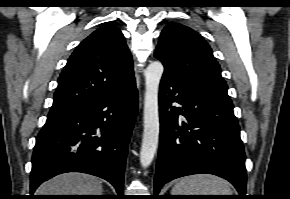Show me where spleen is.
Segmentation results:
<instances>
[{"label": "spleen", "instance_id": "3e777b00", "mask_svg": "<svg viewBox=\"0 0 290 199\" xmlns=\"http://www.w3.org/2000/svg\"><path fill=\"white\" fill-rule=\"evenodd\" d=\"M172 195H232L229 183L209 174L181 178L172 188Z\"/></svg>", "mask_w": 290, "mask_h": 199}]
</instances>
